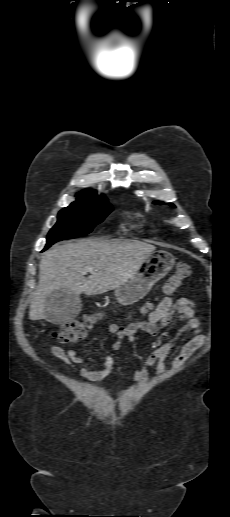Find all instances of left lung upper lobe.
Here are the masks:
<instances>
[{
    "instance_id": "left-lung-upper-lobe-1",
    "label": "left lung upper lobe",
    "mask_w": 230,
    "mask_h": 517,
    "mask_svg": "<svg viewBox=\"0 0 230 517\" xmlns=\"http://www.w3.org/2000/svg\"><path fill=\"white\" fill-rule=\"evenodd\" d=\"M155 203H157V204H161V203H158V202H155ZM170 205L174 207V205H173V204H170Z\"/></svg>"
}]
</instances>
